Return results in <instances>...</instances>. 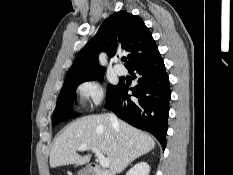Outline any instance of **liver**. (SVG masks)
<instances>
[{"label": "liver", "mask_w": 233, "mask_h": 175, "mask_svg": "<svg viewBox=\"0 0 233 175\" xmlns=\"http://www.w3.org/2000/svg\"><path fill=\"white\" fill-rule=\"evenodd\" d=\"M83 144L97 148L110 159L111 175L122 172L133 160L155 146L150 135L122 120L113 125L109 115H89L72 122L56 138L50 152V167L88 163L91 155L77 153Z\"/></svg>", "instance_id": "1"}]
</instances>
